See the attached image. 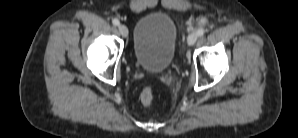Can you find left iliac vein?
<instances>
[{
    "label": "left iliac vein",
    "mask_w": 298,
    "mask_h": 138,
    "mask_svg": "<svg viewBox=\"0 0 298 138\" xmlns=\"http://www.w3.org/2000/svg\"><path fill=\"white\" fill-rule=\"evenodd\" d=\"M198 37L199 36H198L197 32L191 33L187 38V44L189 46L193 45L197 41Z\"/></svg>",
    "instance_id": "obj_1"
}]
</instances>
